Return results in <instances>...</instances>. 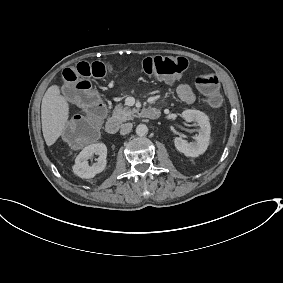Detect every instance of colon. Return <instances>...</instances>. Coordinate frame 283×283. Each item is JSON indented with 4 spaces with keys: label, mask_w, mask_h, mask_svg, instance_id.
<instances>
[{
    "label": "colon",
    "mask_w": 283,
    "mask_h": 283,
    "mask_svg": "<svg viewBox=\"0 0 283 283\" xmlns=\"http://www.w3.org/2000/svg\"><path fill=\"white\" fill-rule=\"evenodd\" d=\"M187 65L183 57L150 56L142 61L141 70L147 75L172 79L183 73ZM112 70V66L101 62H80L63 70V91L83 111L82 115L70 120L64 129V138L70 144L82 145L96 137L106 115V107L97 89L87 78H100ZM195 85L212 107L221 105L222 96L216 75H199L195 79Z\"/></svg>",
    "instance_id": "5ec220e1"
}]
</instances>
